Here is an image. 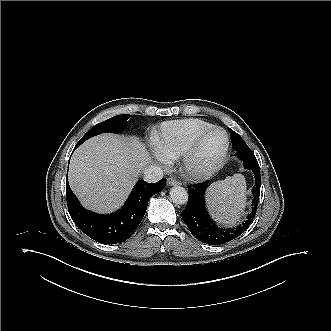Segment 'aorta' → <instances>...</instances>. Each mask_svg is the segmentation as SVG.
<instances>
[{
  "label": "aorta",
  "instance_id": "obj_1",
  "mask_svg": "<svg viewBox=\"0 0 331 331\" xmlns=\"http://www.w3.org/2000/svg\"><path fill=\"white\" fill-rule=\"evenodd\" d=\"M170 198L174 203L183 205L188 201V192L181 186H174L170 189Z\"/></svg>",
  "mask_w": 331,
  "mask_h": 331
}]
</instances>
